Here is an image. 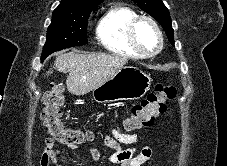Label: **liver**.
Wrapping results in <instances>:
<instances>
[{"mask_svg":"<svg viewBox=\"0 0 227 166\" xmlns=\"http://www.w3.org/2000/svg\"><path fill=\"white\" fill-rule=\"evenodd\" d=\"M128 62L125 56L104 53L80 54L77 51L60 53L54 69L69 73L66 85L71 94L85 95L110 79ZM52 69L47 75L52 74Z\"/></svg>","mask_w":227,"mask_h":166,"instance_id":"6515ba94","label":"liver"}]
</instances>
